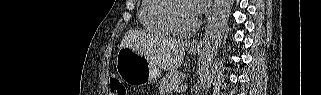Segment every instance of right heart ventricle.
Returning a JSON list of instances; mask_svg holds the SVG:
<instances>
[{
    "instance_id": "e07e8e85",
    "label": "right heart ventricle",
    "mask_w": 321,
    "mask_h": 95,
    "mask_svg": "<svg viewBox=\"0 0 321 95\" xmlns=\"http://www.w3.org/2000/svg\"><path fill=\"white\" fill-rule=\"evenodd\" d=\"M167 0H143L140 6V21L151 33L169 35L172 32L161 19V10Z\"/></svg>"
}]
</instances>
